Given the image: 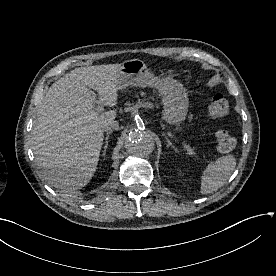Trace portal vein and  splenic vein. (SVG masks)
Here are the masks:
<instances>
[{"label":"portal vein and splenic vein","instance_id":"obj_1","mask_svg":"<svg viewBox=\"0 0 276 276\" xmlns=\"http://www.w3.org/2000/svg\"><path fill=\"white\" fill-rule=\"evenodd\" d=\"M97 103H98V105L95 107V110L99 113V112H101L103 110V107H102L100 101H97ZM181 141H182V144H183L184 148L187 150V152L189 154H193L194 153L193 149L189 145H187L184 140H181Z\"/></svg>","mask_w":276,"mask_h":276}]
</instances>
